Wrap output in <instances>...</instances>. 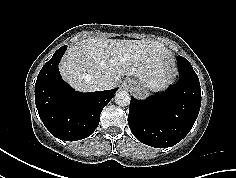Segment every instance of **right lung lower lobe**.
Returning <instances> with one entry per match:
<instances>
[{"label":"right lung lower lobe","mask_w":236,"mask_h":178,"mask_svg":"<svg viewBox=\"0 0 236 178\" xmlns=\"http://www.w3.org/2000/svg\"><path fill=\"white\" fill-rule=\"evenodd\" d=\"M66 48H59L41 69L35 84V103L42 122L56 138L77 141L90 136L97 128L102 109L117 89L74 91L58 70Z\"/></svg>","instance_id":"1"}]
</instances>
